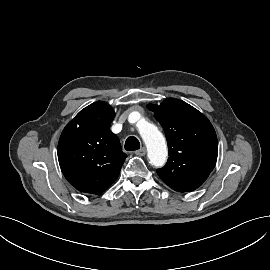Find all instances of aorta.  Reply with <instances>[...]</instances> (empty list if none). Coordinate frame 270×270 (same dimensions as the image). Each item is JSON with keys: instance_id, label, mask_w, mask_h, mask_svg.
I'll list each match as a JSON object with an SVG mask.
<instances>
[{"instance_id": "762f6f07", "label": "aorta", "mask_w": 270, "mask_h": 270, "mask_svg": "<svg viewBox=\"0 0 270 270\" xmlns=\"http://www.w3.org/2000/svg\"><path fill=\"white\" fill-rule=\"evenodd\" d=\"M138 116L140 120L137 122V128L146 144L150 163L155 167H161L168 155L165 138L154 124L142 120L139 114Z\"/></svg>"}]
</instances>
